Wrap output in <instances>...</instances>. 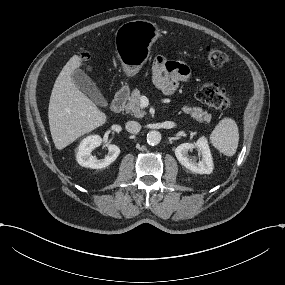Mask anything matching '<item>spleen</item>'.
I'll use <instances>...</instances> for the list:
<instances>
[{
  "mask_svg": "<svg viewBox=\"0 0 285 285\" xmlns=\"http://www.w3.org/2000/svg\"><path fill=\"white\" fill-rule=\"evenodd\" d=\"M210 141L224 155L233 156L239 142V131L236 122L231 118L222 119L212 131Z\"/></svg>",
  "mask_w": 285,
  "mask_h": 285,
  "instance_id": "1",
  "label": "spleen"
}]
</instances>
